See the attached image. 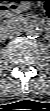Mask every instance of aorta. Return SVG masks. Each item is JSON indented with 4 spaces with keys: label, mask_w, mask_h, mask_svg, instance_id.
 <instances>
[{
    "label": "aorta",
    "mask_w": 50,
    "mask_h": 111,
    "mask_svg": "<svg viewBox=\"0 0 50 111\" xmlns=\"http://www.w3.org/2000/svg\"><path fill=\"white\" fill-rule=\"evenodd\" d=\"M26 35L29 37V38H37L39 36V29L36 28V27H29L27 30H26Z\"/></svg>",
    "instance_id": "762f6f07"
}]
</instances>
